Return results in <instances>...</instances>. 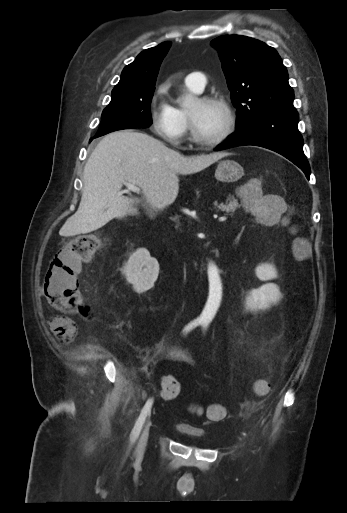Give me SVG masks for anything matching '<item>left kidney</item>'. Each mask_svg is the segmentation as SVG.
I'll use <instances>...</instances> for the list:
<instances>
[{
	"instance_id": "obj_1",
	"label": "left kidney",
	"mask_w": 347,
	"mask_h": 513,
	"mask_svg": "<svg viewBox=\"0 0 347 513\" xmlns=\"http://www.w3.org/2000/svg\"><path fill=\"white\" fill-rule=\"evenodd\" d=\"M256 275L262 281L277 278V271L273 265L261 264L256 268ZM281 298L278 286L274 283H267L253 289L246 297V307L254 311H264L276 304Z\"/></svg>"
}]
</instances>
